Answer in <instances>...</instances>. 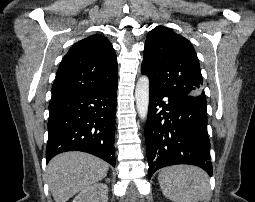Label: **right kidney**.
I'll return each instance as SVG.
<instances>
[{
	"label": "right kidney",
	"instance_id": "right-kidney-1",
	"mask_svg": "<svg viewBox=\"0 0 255 202\" xmlns=\"http://www.w3.org/2000/svg\"><path fill=\"white\" fill-rule=\"evenodd\" d=\"M108 186L97 183L84 188L72 202H107Z\"/></svg>",
	"mask_w": 255,
	"mask_h": 202
}]
</instances>
